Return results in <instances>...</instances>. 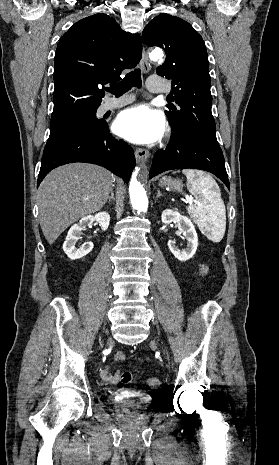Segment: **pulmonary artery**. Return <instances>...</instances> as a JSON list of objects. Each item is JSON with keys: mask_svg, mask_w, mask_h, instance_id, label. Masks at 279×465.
<instances>
[{"mask_svg": "<svg viewBox=\"0 0 279 465\" xmlns=\"http://www.w3.org/2000/svg\"><path fill=\"white\" fill-rule=\"evenodd\" d=\"M147 87H148V90L153 93H162L165 91V87L161 79L157 76H152L148 79ZM132 101H133V97L129 95L123 96L117 99H108L101 106V111L106 112L108 110L124 106Z\"/></svg>", "mask_w": 279, "mask_h": 465, "instance_id": "pulmonary-artery-1", "label": "pulmonary artery"}]
</instances>
